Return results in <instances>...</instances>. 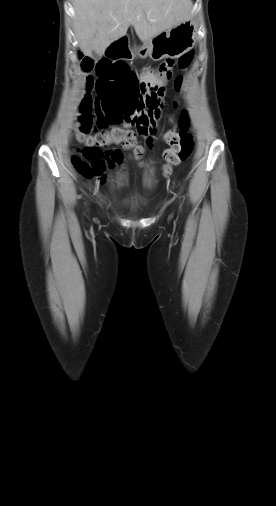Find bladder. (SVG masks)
Returning <instances> with one entry per match:
<instances>
[{
	"label": "bladder",
	"instance_id": "obj_1",
	"mask_svg": "<svg viewBox=\"0 0 276 506\" xmlns=\"http://www.w3.org/2000/svg\"><path fill=\"white\" fill-rule=\"evenodd\" d=\"M142 201L138 194H130L123 198L122 203L127 206L136 205Z\"/></svg>",
	"mask_w": 276,
	"mask_h": 506
}]
</instances>
